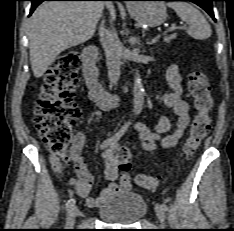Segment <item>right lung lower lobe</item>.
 <instances>
[{"label":"right lung lower lobe","instance_id":"obj_1","mask_svg":"<svg viewBox=\"0 0 234 231\" xmlns=\"http://www.w3.org/2000/svg\"><path fill=\"white\" fill-rule=\"evenodd\" d=\"M32 2V7L30 14L35 10V8L43 1H98V0H30ZM109 1H119V0H109Z\"/></svg>","mask_w":234,"mask_h":231}]
</instances>
